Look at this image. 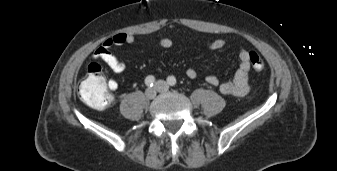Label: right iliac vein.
Wrapping results in <instances>:
<instances>
[{
  "mask_svg": "<svg viewBox=\"0 0 337 171\" xmlns=\"http://www.w3.org/2000/svg\"><path fill=\"white\" fill-rule=\"evenodd\" d=\"M156 89L155 88H148L146 91H145V96L146 98L148 99H154L156 97Z\"/></svg>",
  "mask_w": 337,
  "mask_h": 171,
  "instance_id": "obj_1",
  "label": "right iliac vein"
}]
</instances>
